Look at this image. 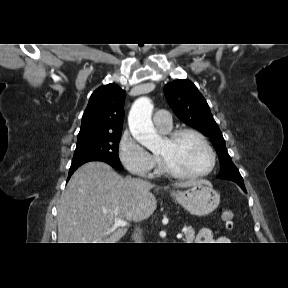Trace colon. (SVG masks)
I'll use <instances>...</instances> for the list:
<instances>
[{"label": "colon", "instance_id": "1", "mask_svg": "<svg viewBox=\"0 0 288 288\" xmlns=\"http://www.w3.org/2000/svg\"><path fill=\"white\" fill-rule=\"evenodd\" d=\"M220 216L224 222L225 228L231 230L234 226V213L230 209H222L220 211Z\"/></svg>", "mask_w": 288, "mask_h": 288}]
</instances>
